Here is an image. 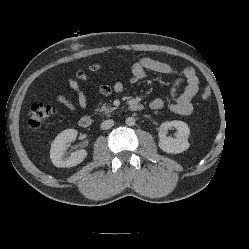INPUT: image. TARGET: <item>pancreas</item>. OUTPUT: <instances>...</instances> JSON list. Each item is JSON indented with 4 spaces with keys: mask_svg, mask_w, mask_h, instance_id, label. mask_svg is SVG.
<instances>
[{
    "mask_svg": "<svg viewBox=\"0 0 249 249\" xmlns=\"http://www.w3.org/2000/svg\"><path fill=\"white\" fill-rule=\"evenodd\" d=\"M115 109H116V107L109 106L108 104L105 103L100 108H98L97 110L99 112H104L105 114H108L110 112H113Z\"/></svg>",
    "mask_w": 249,
    "mask_h": 249,
    "instance_id": "obj_1",
    "label": "pancreas"
}]
</instances>
